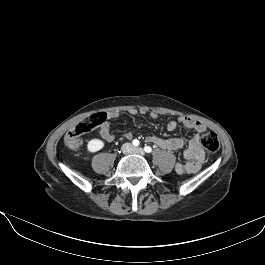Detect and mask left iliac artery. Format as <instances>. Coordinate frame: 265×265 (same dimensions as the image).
Wrapping results in <instances>:
<instances>
[{
	"instance_id": "left-iliac-artery-1",
	"label": "left iliac artery",
	"mask_w": 265,
	"mask_h": 265,
	"mask_svg": "<svg viewBox=\"0 0 265 265\" xmlns=\"http://www.w3.org/2000/svg\"><path fill=\"white\" fill-rule=\"evenodd\" d=\"M144 151H145L146 153H150V152H152V148H151L150 146H145V147H144Z\"/></svg>"
}]
</instances>
